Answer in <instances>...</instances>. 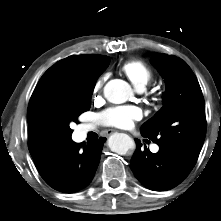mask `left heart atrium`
<instances>
[{
	"instance_id": "left-heart-atrium-1",
	"label": "left heart atrium",
	"mask_w": 221,
	"mask_h": 221,
	"mask_svg": "<svg viewBox=\"0 0 221 221\" xmlns=\"http://www.w3.org/2000/svg\"><path fill=\"white\" fill-rule=\"evenodd\" d=\"M141 110L132 105L117 106L109 108L101 115L103 122L106 125L117 128H130L134 121L141 118Z\"/></svg>"
}]
</instances>
